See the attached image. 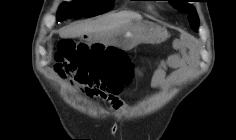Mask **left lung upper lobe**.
<instances>
[{
	"instance_id": "obj_1",
	"label": "left lung upper lobe",
	"mask_w": 236,
	"mask_h": 140,
	"mask_svg": "<svg viewBox=\"0 0 236 140\" xmlns=\"http://www.w3.org/2000/svg\"><path fill=\"white\" fill-rule=\"evenodd\" d=\"M170 4L180 12L189 14V22L191 27L197 31L199 26V19L195 8L187 3V0H168Z\"/></svg>"
}]
</instances>
